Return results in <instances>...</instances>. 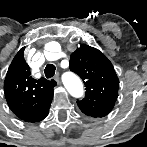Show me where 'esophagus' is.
Instances as JSON below:
<instances>
[{"instance_id":"esophagus-1","label":"esophagus","mask_w":147,"mask_h":147,"mask_svg":"<svg viewBox=\"0 0 147 147\" xmlns=\"http://www.w3.org/2000/svg\"><path fill=\"white\" fill-rule=\"evenodd\" d=\"M55 80L57 81V83H60V75H59V73L56 74Z\"/></svg>"}]
</instances>
